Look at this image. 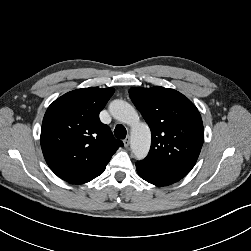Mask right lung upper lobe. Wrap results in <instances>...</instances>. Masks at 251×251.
I'll list each match as a JSON object with an SVG mask.
<instances>
[{
	"instance_id": "cb5924a9",
	"label": "right lung upper lobe",
	"mask_w": 251,
	"mask_h": 251,
	"mask_svg": "<svg viewBox=\"0 0 251 251\" xmlns=\"http://www.w3.org/2000/svg\"><path fill=\"white\" fill-rule=\"evenodd\" d=\"M113 88H81L56 99L41 128V148L51 170L61 179L87 183L106 168L122 141L99 120Z\"/></svg>"
}]
</instances>
